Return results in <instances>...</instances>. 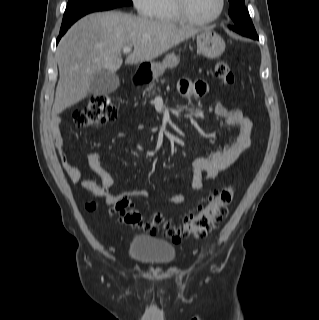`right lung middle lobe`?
<instances>
[{
	"label": "right lung middle lobe",
	"mask_w": 319,
	"mask_h": 320,
	"mask_svg": "<svg viewBox=\"0 0 319 320\" xmlns=\"http://www.w3.org/2000/svg\"><path fill=\"white\" fill-rule=\"evenodd\" d=\"M131 4V0H69L61 28L70 27L76 20L88 13Z\"/></svg>",
	"instance_id": "right-lung-middle-lobe-1"
}]
</instances>
